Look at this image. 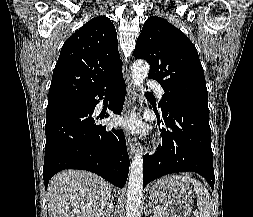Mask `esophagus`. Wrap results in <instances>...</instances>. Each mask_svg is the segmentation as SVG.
<instances>
[{
	"mask_svg": "<svg viewBox=\"0 0 253 217\" xmlns=\"http://www.w3.org/2000/svg\"><path fill=\"white\" fill-rule=\"evenodd\" d=\"M136 98H137V94H136V90H135V85H134L133 81L130 80L128 82L127 99H126V104H125V108H124L125 112H127L130 108H132L134 106ZM126 141H127V146H128V153H129L130 157L132 158L135 153V150H136L134 139L131 138L127 134Z\"/></svg>",
	"mask_w": 253,
	"mask_h": 217,
	"instance_id": "esophagus-1",
	"label": "esophagus"
}]
</instances>
